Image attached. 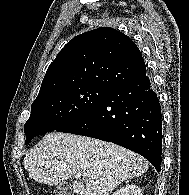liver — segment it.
<instances>
[{
	"label": "liver",
	"mask_w": 189,
	"mask_h": 195,
	"mask_svg": "<svg viewBox=\"0 0 189 195\" xmlns=\"http://www.w3.org/2000/svg\"><path fill=\"white\" fill-rule=\"evenodd\" d=\"M23 165L31 179L49 186L80 174L81 179L72 183L74 193L80 195H109L149 168L142 156L124 147L61 132L45 135L26 154Z\"/></svg>",
	"instance_id": "1"
}]
</instances>
